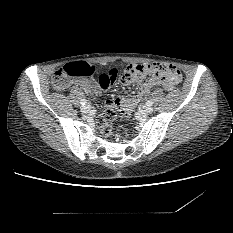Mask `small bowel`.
Returning <instances> with one entry per match:
<instances>
[{
	"label": "small bowel",
	"instance_id": "small-bowel-1",
	"mask_svg": "<svg viewBox=\"0 0 233 233\" xmlns=\"http://www.w3.org/2000/svg\"><path fill=\"white\" fill-rule=\"evenodd\" d=\"M117 78V70L111 69L106 73L100 75L98 81L93 79H77L74 83L78 86L85 88L88 92H95L97 88L102 90L103 92H107L111 85L115 82ZM180 72L175 70L174 72H170L167 75H162L160 77L153 78L152 80L146 81L141 84L138 92L130 97L126 98L124 96H118L115 99L107 100L104 103V107L106 109L112 108H128L136 106L141 99L153 88L160 87L164 89H171L174 85L179 82ZM136 79H128L124 80V85H131L136 83Z\"/></svg>",
	"mask_w": 233,
	"mask_h": 233
}]
</instances>
